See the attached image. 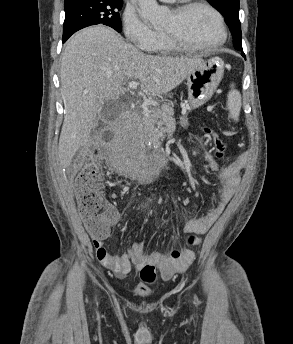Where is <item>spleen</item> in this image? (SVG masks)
Returning a JSON list of instances; mask_svg holds the SVG:
<instances>
[{"label": "spleen", "instance_id": "1", "mask_svg": "<svg viewBox=\"0 0 293 344\" xmlns=\"http://www.w3.org/2000/svg\"><path fill=\"white\" fill-rule=\"evenodd\" d=\"M241 105V95L237 90L233 89L232 87L231 91H229L227 96V108L230 112V117L234 121H238L239 119Z\"/></svg>", "mask_w": 293, "mask_h": 344}]
</instances>
